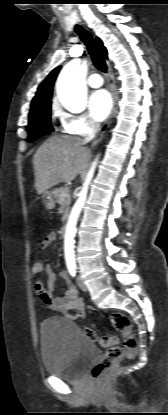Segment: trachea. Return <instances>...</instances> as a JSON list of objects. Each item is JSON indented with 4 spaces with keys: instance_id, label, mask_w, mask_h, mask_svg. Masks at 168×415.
<instances>
[{
    "instance_id": "1",
    "label": "trachea",
    "mask_w": 168,
    "mask_h": 415,
    "mask_svg": "<svg viewBox=\"0 0 168 415\" xmlns=\"http://www.w3.org/2000/svg\"><path fill=\"white\" fill-rule=\"evenodd\" d=\"M75 31L80 36L81 40L85 43L95 67L99 71L106 73V62L100 50L98 49L92 35L80 25L75 26Z\"/></svg>"
}]
</instances>
